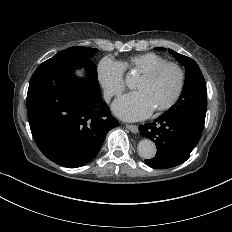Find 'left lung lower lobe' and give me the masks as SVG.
I'll return each mask as SVG.
<instances>
[{"label":"left lung lower lobe","mask_w":232,"mask_h":232,"mask_svg":"<svg viewBox=\"0 0 232 232\" xmlns=\"http://www.w3.org/2000/svg\"><path fill=\"white\" fill-rule=\"evenodd\" d=\"M140 134L157 147L156 156L145 160L155 169H167L185 162L199 142L203 128L181 116L161 115L152 123L139 126Z\"/></svg>","instance_id":"1"}]
</instances>
